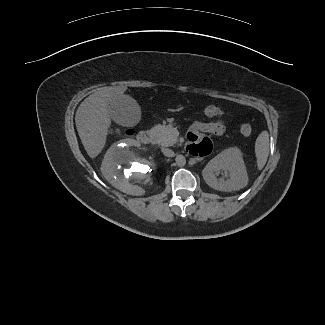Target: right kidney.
<instances>
[{
	"label": "right kidney",
	"mask_w": 325,
	"mask_h": 325,
	"mask_svg": "<svg viewBox=\"0 0 325 325\" xmlns=\"http://www.w3.org/2000/svg\"><path fill=\"white\" fill-rule=\"evenodd\" d=\"M126 164L122 170L121 165ZM155 164L133 139L114 143L101 165L105 179L118 190L134 196L143 195L154 182Z\"/></svg>",
	"instance_id": "right-kidney-1"
}]
</instances>
